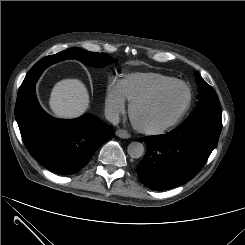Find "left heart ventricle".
<instances>
[{"label":"left heart ventricle","instance_id":"b2bd125f","mask_svg":"<svg viewBox=\"0 0 245 245\" xmlns=\"http://www.w3.org/2000/svg\"><path fill=\"white\" fill-rule=\"evenodd\" d=\"M187 90L174 85L154 100L141 105L136 111L137 121L146 127H160L172 121L187 101Z\"/></svg>","mask_w":245,"mask_h":245}]
</instances>
